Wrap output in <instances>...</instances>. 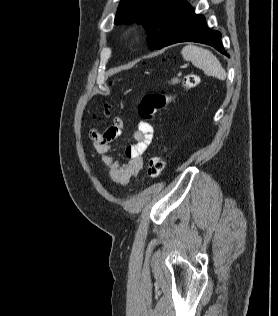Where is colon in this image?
Returning a JSON list of instances; mask_svg holds the SVG:
<instances>
[{"instance_id":"5ec220e1","label":"colon","mask_w":278,"mask_h":316,"mask_svg":"<svg viewBox=\"0 0 278 316\" xmlns=\"http://www.w3.org/2000/svg\"><path fill=\"white\" fill-rule=\"evenodd\" d=\"M199 83V77L196 74L185 75L180 83V88L189 90L196 87ZM174 98L173 94L162 92H152L143 96L138 112L140 117L149 122L155 119L157 112L165 108ZM110 113V106L105 105L101 117H107ZM165 162L161 155H152L148 160L147 173L150 178H157L161 175Z\"/></svg>"}]
</instances>
